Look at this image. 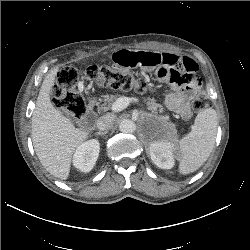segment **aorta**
<instances>
[{
  "label": "aorta",
  "instance_id": "aorta-1",
  "mask_svg": "<svg viewBox=\"0 0 250 250\" xmlns=\"http://www.w3.org/2000/svg\"><path fill=\"white\" fill-rule=\"evenodd\" d=\"M119 129L123 133H133L136 130V125L132 120L124 119L120 122Z\"/></svg>",
  "mask_w": 250,
  "mask_h": 250
}]
</instances>
